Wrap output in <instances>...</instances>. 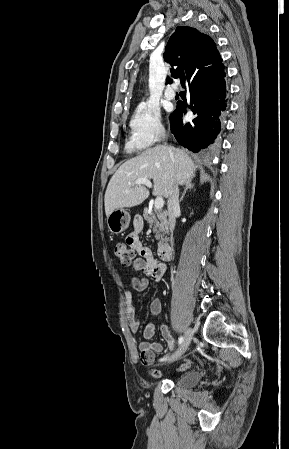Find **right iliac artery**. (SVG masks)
Returning <instances> with one entry per match:
<instances>
[{
  "mask_svg": "<svg viewBox=\"0 0 289 449\" xmlns=\"http://www.w3.org/2000/svg\"><path fill=\"white\" fill-rule=\"evenodd\" d=\"M182 342H183V337L181 336V337L179 338L178 343H179V344H182ZM167 358H169V356H166V357L162 358L161 361L167 360Z\"/></svg>",
  "mask_w": 289,
  "mask_h": 449,
  "instance_id": "obj_1",
  "label": "right iliac artery"
}]
</instances>
